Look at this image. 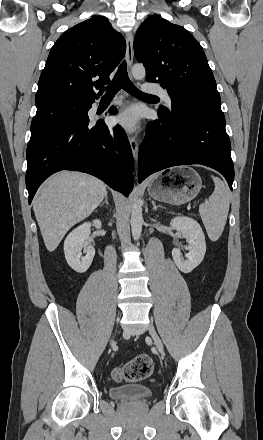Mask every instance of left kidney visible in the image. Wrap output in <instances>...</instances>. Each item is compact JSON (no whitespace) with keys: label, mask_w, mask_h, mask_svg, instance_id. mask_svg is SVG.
<instances>
[{"label":"left kidney","mask_w":263,"mask_h":440,"mask_svg":"<svg viewBox=\"0 0 263 440\" xmlns=\"http://www.w3.org/2000/svg\"><path fill=\"white\" fill-rule=\"evenodd\" d=\"M170 227L179 231L189 243L187 247L189 253L186 260L178 248L172 250V257L181 272L190 273L203 261L205 256L206 242L202 228L196 220L185 216L173 218Z\"/></svg>","instance_id":"5707ae66"}]
</instances>
